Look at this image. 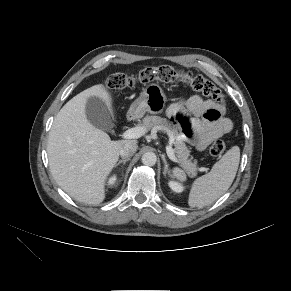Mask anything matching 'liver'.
<instances>
[{
  "label": "liver",
  "instance_id": "1",
  "mask_svg": "<svg viewBox=\"0 0 291 291\" xmlns=\"http://www.w3.org/2000/svg\"><path fill=\"white\" fill-rule=\"evenodd\" d=\"M91 96L101 98L114 116L112 96L102 84L94 85L69 100L51 127L47 153L51 174L73 199L96 205L105 199V182L119 159L121 148L136 140L111 141L87 119L85 108Z\"/></svg>",
  "mask_w": 291,
  "mask_h": 291
}]
</instances>
